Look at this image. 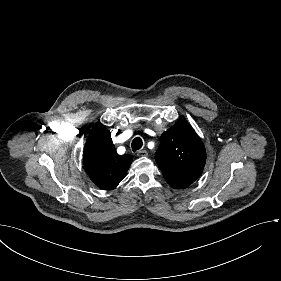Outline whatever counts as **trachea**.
I'll use <instances>...</instances> for the list:
<instances>
[{"label":"trachea","instance_id":"trachea-1","mask_svg":"<svg viewBox=\"0 0 281 281\" xmlns=\"http://www.w3.org/2000/svg\"><path fill=\"white\" fill-rule=\"evenodd\" d=\"M142 145H143V142H142L141 138L136 137L131 143V148H132L133 152H136L137 150L142 148Z\"/></svg>","mask_w":281,"mask_h":281}]
</instances>
